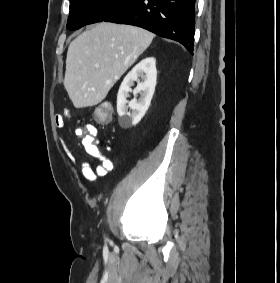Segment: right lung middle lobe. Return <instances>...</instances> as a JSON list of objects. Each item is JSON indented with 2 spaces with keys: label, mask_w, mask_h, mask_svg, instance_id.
Masks as SVG:
<instances>
[{
  "label": "right lung middle lobe",
  "mask_w": 280,
  "mask_h": 283,
  "mask_svg": "<svg viewBox=\"0 0 280 283\" xmlns=\"http://www.w3.org/2000/svg\"><path fill=\"white\" fill-rule=\"evenodd\" d=\"M132 0H70L67 28L79 29L87 24L101 22Z\"/></svg>",
  "instance_id": "dd1d6c3e"
}]
</instances>
